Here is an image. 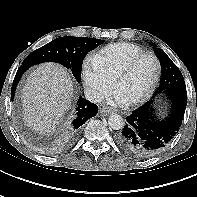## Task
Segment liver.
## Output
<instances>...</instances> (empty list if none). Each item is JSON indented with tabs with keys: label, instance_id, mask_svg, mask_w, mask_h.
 Returning <instances> with one entry per match:
<instances>
[{
	"label": "liver",
	"instance_id": "obj_1",
	"mask_svg": "<svg viewBox=\"0 0 197 197\" xmlns=\"http://www.w3.org/2000/svg\"><path fill=\"white\" fill-rule=\"evenodd\" d=\"M73 99V83L65 68L43 63L27 78L22 89L24 120L38 132L54 130Z\"/></svg>",
	"mask_w": 197,
	"mask_h": 197
}]
</instances>
